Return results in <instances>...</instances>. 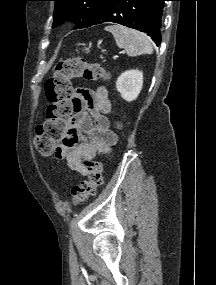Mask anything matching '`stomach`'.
Segmentation results:
<instances>
[{"mask_svg":"<svg viewBox=\"0 0 216 285\" xmlns=\"http://www.w3.org/2000/svg\"><path fill=\"white\" fill-rule=\"evenodd\" d=\"M85 51H86V52H89V48H85Z\"/></svg>","mask_w":216,"mask_h":285,"instance_id":"obj_1","label":"stomach"}]
</instances>
